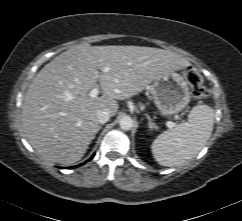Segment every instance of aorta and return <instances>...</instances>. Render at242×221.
Listing matches in <instances>:
<instances>
[{
  "instance_id": "aorta-1",
  "label": "aorta",
  "mask_w": 242,
  "mask_h": 221,
  "mask_svg": "<svg viewBox=\"0 0 242 221\" xmlns=\"http://www.w3.org/2000/svg\"><path fill=\"white\" fill-rule=\"evenodd\" d=\"M119 125L122 130L128 131V130L132 129V127L134 125V121L130 116H123L119 120Z\"/></svg>"
}]
</instances>
